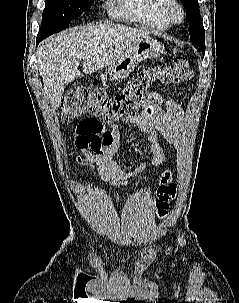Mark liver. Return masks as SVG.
<instances>
[{"label": "liver", "mask_w": 239, "mask_h": 303, "mask_svg": "<svg viewBox=\"0 0 239 303\" xmlns=\"http://www.w3.org/2000/svg\"><path fill=\"white\" fill-rule=\"evenodd\" d=\"M148 32L120 24L73 27L46 39L38 49L39 72L44 92L55 110L65 86L83 73H94L112 65L131 43L148 37Z\"/></svg>", "instance_id": "6515ba94"}]
</instances>
